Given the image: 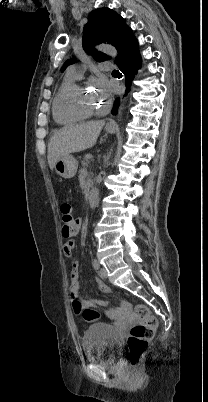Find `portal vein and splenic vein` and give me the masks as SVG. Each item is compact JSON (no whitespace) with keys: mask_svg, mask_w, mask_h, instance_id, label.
<instances>
[{"mask_svg":"<svg viewBox=\"0 0 208 402\" xmlns=\"http://www.w3.org/2000/svg\"><path fill=\"white\" fill-rule=\"evenodd\" d=\"M82 164H83L84 167H89L90 166V163H89L88 160H83Z\"/></svg>","mask_w":208,"mask_h":402,"instance_id":"obj_1","label":"portal vein and splenic vein"}]
</instances>
